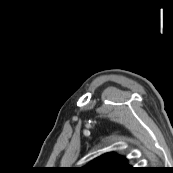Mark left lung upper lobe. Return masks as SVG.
Masks as SVG:
<instances>
[{
    "instance_id": "1",
    "label": "left lung upper lobe",
    "mask_w": 173,
    "mask_h": 173,
    "mask_svg": "<svg viewBox=\"0 0 173 173\" xmlns=\"http://www.w3.org/2000/svg\"><path fill=\"white\" fill-rule=\"evenodd\" d=\"M81 173H134L136 168L127 163V159L116 153H106L80 168Z\"/></svg>"
}]
</instances>
